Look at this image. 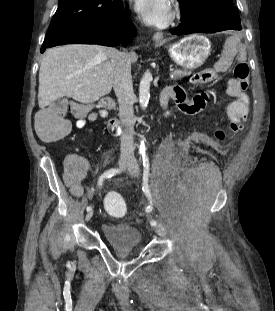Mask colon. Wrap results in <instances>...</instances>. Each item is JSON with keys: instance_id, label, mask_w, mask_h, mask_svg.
Here are the masks:
<instances>
[{"instance_id": "5ec220e1", "label": "colon", "mask_w": 275, "mask_h": 311, "mask_svg": "<svg viewBox=\"0 0 275 311\" xmlns=\"http://www.w3.org/2000/svg\"><path fill=\"white\" fill-rule=\"evenodd\" d=\"M234 76L239 81L241 89L246 90L248 87L249 67L245 61H238L235 64ZM68 110L76 112V105L62 100L40 112L36 117V129L39 136L48 141L67 136L69 127L65 114ZM106 196L105 208L109 214L117 216L125 212V204L119 196L118 190H107Z\"/></svg>"}]
</instances>
